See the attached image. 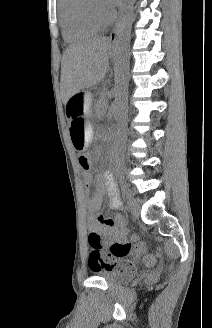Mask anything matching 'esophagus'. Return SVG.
Listing matches in <instances>:
<instances>
[{
	"label": "esophagus",
	"instance_id": "obj_1",
	"mask_svg": "<svg viewBox=\"0 0 212 328\" xmlns=\"http://www.w3.org/2000/svg\"><path fill=\"white\" fill-rule=\"evenodd\" d=\"M118 26H119V22L117 21L116 24H115V26H114V28H113V30H112L111 33H110V37H109V39H110V41L113 42V43H114V42L116 41V39H117Z\"/></svg>",
	"mask_w": 212,
	"mask_h": 328
}]
</instances>
